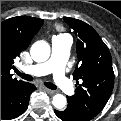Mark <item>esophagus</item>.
Segmentation results:
<instances>
[{
    "label": "esophagus",
    "mask_w": 121,
    "mask_h": 121,
    "mask_svg": "<svg viewBox=\"0 0 121 121\" xmlns=\"http://www.w3.org/2000/svg\"><path fill=\"white\" fill-rule=\"evenodd\" d=\"M44 90L49 93V94H55L54 90L48 89V88H44Z\"/></svg>",
    "instance_id": "1"
}]
</instances>
